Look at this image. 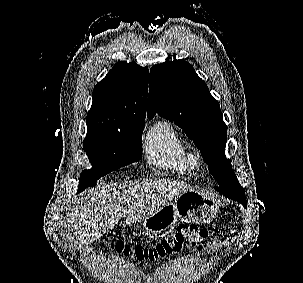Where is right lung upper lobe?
<instances>
[{"label": "right lung upper lobe", "mask_w": 303, "mask_h": 283, "mask_svg": "<svg viewBox=\"0 0 303 283\" xmlns=\"http://www.w3.org/2000/svg\"><path fill=\"white\" fill-rule=\"evenodd\" d=\"M148 93V68L121 61L94 87L87 114L88 130L144 122Z\"/></svg>", "instance_id": "obj_1"}]
</instances>
